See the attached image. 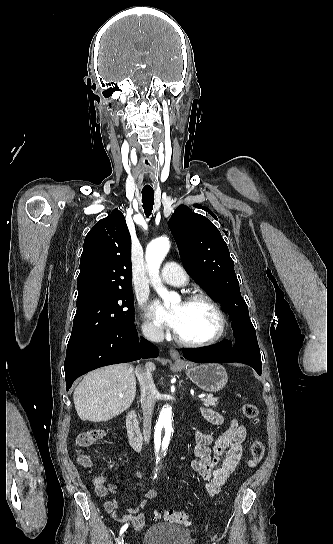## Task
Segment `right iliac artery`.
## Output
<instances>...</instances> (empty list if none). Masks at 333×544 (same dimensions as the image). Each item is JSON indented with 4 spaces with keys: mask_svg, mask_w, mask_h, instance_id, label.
I'll use <instances>...</instances> for the list:
<instances>
[{
    "mask_svg": "<svg viewBox=\"0 0 333 544\" xmlns=\"http://www.w3.org/2000/svg\"><path fill=\"white\" fill-rule=\"evenodd\" d=\"M128 525H124L121 530H120V538L122 537V534L125 532V530L127 529ZM118 544H123V540L120 539L119 543Z\"/></svg>",
    "mask_w": 333,
    "mask_h": 544,
    "instance_id": "right-iliac-artery-1",
    "label": "right iliac artery"
}]
</instances>
